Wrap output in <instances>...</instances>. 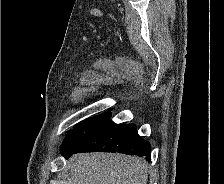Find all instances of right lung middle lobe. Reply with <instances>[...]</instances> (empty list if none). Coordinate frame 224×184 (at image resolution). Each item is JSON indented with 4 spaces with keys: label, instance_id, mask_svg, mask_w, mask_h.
Masks as SVG:
<instances>
[{
    "label": "right lung middle lobe",
    "instance_id": "obj_1",
    "mask_svg": "<svg viewBox=\"0 0 224 184\" xmlns=\"http://www.w3.org/2000/svg\"><path fill=\"white\" fill-rule=\"evenodd\" d=\"M111 117V113H104L92 118H88L84 121H81L74 128L69 131L64 139V142L61 146H68L76 143L80 138H82L85 134L101 125L108 118Z\"/></svg>",
    "mask_w": 224,
    "mask_h": 184
}]
</instances>
